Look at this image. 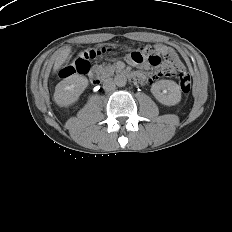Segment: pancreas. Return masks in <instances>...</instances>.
<instances>
[{"label": "pancreas", "mask_w": 232, "mask_h": 232, "mask_svg": "<svg viewBox=\"0 0 232 232\" xmlns=\"http://www.w3.org/2000/svg\"><path fill=\"white\" fill-rule=\"evenodd\" d=\"M97 69L103 77L111 76L117 70L115 65H100Z\"/></svg>", "instance_id": "pancreas-1"}]
</instances>
